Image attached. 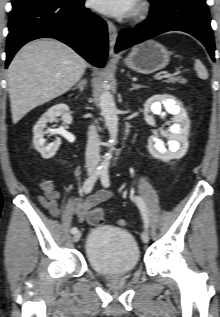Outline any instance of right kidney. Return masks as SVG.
Returning <instances> with one entry per match:
<instances>
[{
    "label": "right kidney",
    "mask_w": 220,
    "mask_h": 317,
    "mask_svg": "<svg viewBox=\"0 0 220 317\" xmlns=\"http://www.w3.org/2000/svg\"><path fill=\"white\" fill-rule=\"evenodd\" d=\"M62 116L67 124L72 123V116L69 114V107L66 104H58L52 106L45 112L36 125L33 127V144L35 149L41 154L44 159H49L56 154V151L61 145V139L57 138L54 142L45 145V131L47 122H53L56 117Z\"/></svg>",
    "instance_id": "ca27d5eb"
}]
</instances>
